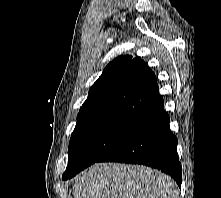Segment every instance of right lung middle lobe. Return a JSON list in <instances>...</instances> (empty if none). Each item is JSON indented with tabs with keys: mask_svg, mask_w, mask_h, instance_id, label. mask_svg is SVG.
<instances>
[{
	"mask_svg": "<svg viewBox=\"0 0 221 198\" xmlns=\"http://www.w3.org/2000/svg\"><path fill=\"white\" fill-rule=\"evenodd\" d=\"M141 121L108 118L75 129L69 142L68 165L62 179L68 180L97 162L141 125Z\"/></svg>",
	"mask_w": 221,
	"mask_h": 198,
	"instance_id": "obj_1",
	"label": "right lung middle lobe"
}]
</instances>
